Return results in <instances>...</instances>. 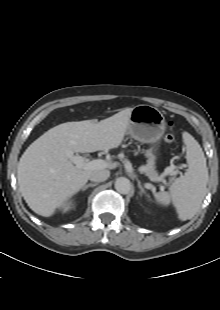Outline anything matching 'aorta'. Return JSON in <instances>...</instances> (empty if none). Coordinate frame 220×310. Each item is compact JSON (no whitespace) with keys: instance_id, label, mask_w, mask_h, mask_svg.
<instances>
[{"instance_id":"762f6f07","label":"aorta","mask_w":220,"mask_h":310,"mask_svg":"<svg viewBox=\"0 0 220 310\" xmlns=\"http://www.w3.org/2000/svg\"><path fill=\"white\" fill-rule=\"evenodd\" d=\"M115 189L121 194H127L131 190V182L125 177H119L115 181Z\"/></svg>"}]
</instances>
